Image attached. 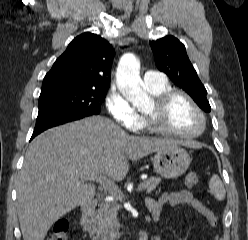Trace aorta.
Instances as JSON below:
<instances>
[{"label": "aorta", "instance_id": "1", "mask_svg": "<svg viewBox=\"0 0 248 240\" xmlns=\"http://www.w3.org/2000/svg\"><path fill=\"white\" fill-rule=\"evenodd\" d=\"M117 87L122 95L133 106L141 108L150 103L148 94L142 89L140 78V62L131 53L124 54L116 72Z\"/></svg>", "mask_w": 248, "mask_h": 240}]
</instances>
